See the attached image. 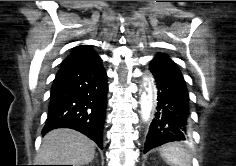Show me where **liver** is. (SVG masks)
Masks as SVG:
<instances>
[{
  "mask_svg": "<svg viewBox=\"0 0 236 166\" xmlns=\"http://www.w3.org/2000/svg\"><path fill=\"white\" fill-rule=\"evenodd\" d=\"M94 155L93 141L75 130L60 128L44 136L37 161L41 165L80 166L90 163Z\"/></svg>",
  "mask_w": 236,
  "mask_h": 166,
  "instance_id": "6515ba94",
  "label": "liver"
}]
</instances>
